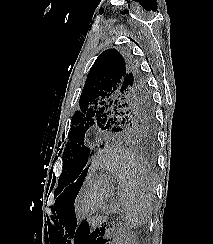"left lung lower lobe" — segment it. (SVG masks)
<instances>
[{"mask_svg":"<svg viewBox=\"0 0 213 244\" xmlns=\"http://www.w3.org/2000/svg\"><path fill=\"white\" fill-rule=\"evenodd\" d=\"M89 157H90V150L87 149L83 152V154L80 158L79 168H78V172H77V178L74 181L73 185H77V184L81 185L82 184L84 177L87 174L88 167H86V165H87V162L89 160Z\"/></svg>","mask_w":213,"mask_h":244,"instance_id":"1","label":"left lung lower lobe"}]
</instances>
